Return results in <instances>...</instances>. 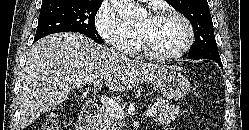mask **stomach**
<instances>
[{"instance_id": "1", "label": "stomach", "mask_w": 249, "mask_h": 130, "mask_svg": "<svg viewBox=\"0 0 249 130\" xmlns=\"http://www.w3.org/2000/svg\"><path fill=\"white\" fill-rule=\"evenodd\" d=\"M152 83L154 89L168 99L184 97L190 91L188 78L174 70L158 74Z\"/></svg>"}]
</instances>
